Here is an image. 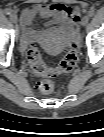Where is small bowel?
I'll return each instance as SVG.
<instances>
[{"label":"small bowel","instance_id":"c3829d8e","mask_svg":"<svg viewBox=\"0 0 104 137\" xmlns=\"http://www.w3.org/2000/svg\"><path fill=\"white\" fill-rule=\"evenodd\" d=\"M36 15L48 20L52 32L68 35L72 41L77 39L79 13L75 9L61 3L34 4L27 6L21 12L23 48L27 47L31 41L42 38L46 33L32 29L31 25Z\"/></svg>","mask_w":104,"mask_h":137}]
</instances>
